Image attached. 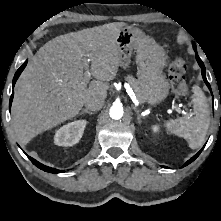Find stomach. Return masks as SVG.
Masks as SVG:
<instances>
[{
    "instance_id": "stomach-1",
    "label": "stomach",
    "mask_w": 221,
    "mask_h": 221,
    "mask_svg": "<svg viewBox=\"0 0 221 221\" xmlns=\"http://www.w3.org/2000/svg\"><path fill=\"white\" fill-rule=\"evenodd\" d=\"M116 42L120 66L127 67L132 53H136L141 101L156 105L166 99L169 88L163 75L167 58L163 48L135 26L123 27Z\"/></svg>"
}]
</instances>
